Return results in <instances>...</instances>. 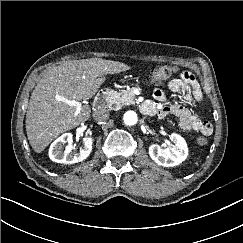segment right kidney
<instances>
[{"mask_svg": "<svg viewBox=\"0 0 243 243\" xmlns=\"http://www.w3.org/2000/svg\"><path fill=\"white\" fill-rule=\"evenodd\" d=\"M68 143L63 151V144ZM93 139L87 137L84 139V146L79 152H74L73 149V134L64 133L58 137L49 148V158L57 163L74 164L85 160L92 150Z\"/></svg>", "mask_w": 243, "mask_h": 243, "instance_id": "ca27d5eb", "label": "right kidney"}]
</instances>
